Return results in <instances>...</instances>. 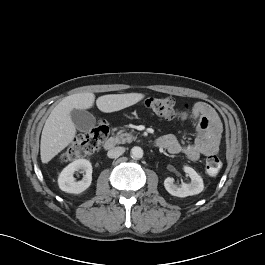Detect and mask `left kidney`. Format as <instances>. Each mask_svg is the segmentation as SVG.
Segmentation results:
<instances>
[{
	"mask_svg": "<svg viewBox=\"0 0 265 265\" xmlns=\"http://www.w3.org/2000/svg\"><path fill=\"white\" fill-rule=\"evenodd\" d=\"M184 171L191 178V182L177 185L173 178L168 177L164 180V187L167 192L177 197H187L201 193L204 189L202 177L191 167L185 166Z\"/></svg>",
	"mask_w": 265,
	"mask_h": 265,
	"instance_id": "1",
	"label": "left kidney"
}]
</instances>
